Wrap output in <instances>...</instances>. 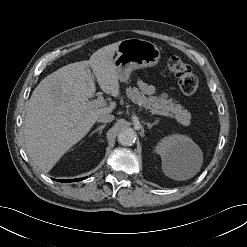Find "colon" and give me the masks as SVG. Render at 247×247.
<instances>
[{"label":"colon","instance_id":"colon-1","mask_svg":"<svg viewBox=\"0 0 247 247\" xmlns=\"http://www.w3.org/2000/svg\"><path fill=\"white\" fill-rule=\"evenodd\" d=\"M167 67L170 73L175 75L178 85L184 94H194L198 89V79L192 72L191 67L178 56L168 59Z\"/></svg>","mask_w":247,"mask_h":247}]
</instances>
